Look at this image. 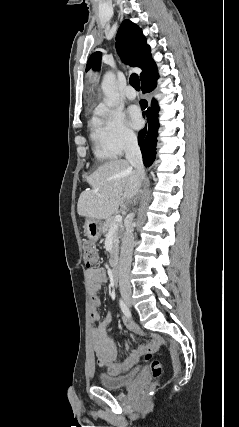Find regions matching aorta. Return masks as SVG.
Wrapping results in <instances>:
<instances>
[{
	"mask_svg": "<svg viewBox=\"0 0 239 427\" xmlns=\"http://www.w3.org/2000/svg\"><path fill=\"white\" fill-rule=\"evenodd\" d=\"M116 77L111 71L107 72L102 80L101 88L106 97L107 103L110 106H115L119 100V93L116 88Z\"/></svg>",
	"mask_w": 239,
	"mask_h": 427,
	"instance_id": "aorta-1",
	"label": "aorta"
}]
</instances>
